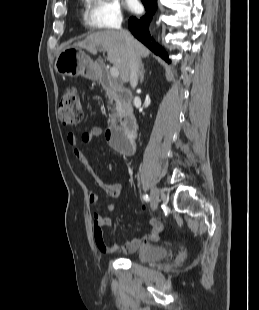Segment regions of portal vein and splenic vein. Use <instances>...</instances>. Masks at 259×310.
I'll return each instance as SVG.
<instances>
[{
  "instance_id": "1",
  "label": "portal vein and splenic vein",
  "mask_w": 259,
  "mask_h": 310,
  "mask_svg": "<svg viewBox=\"0 0 259 310\" xmlns=\"http://www.w3.org/2000/svg\"><path fill=\"white\" fill-rule=\"evenodd\" d=\"M110 75L114 78H118L119 77V70L117 67L113 66L110 68Z\"/></svg>"
}]
</instances>
